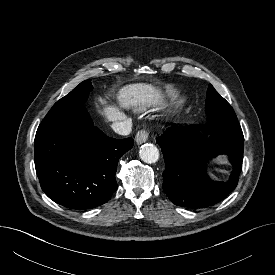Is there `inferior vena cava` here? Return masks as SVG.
Masks as SVG:
<instances>
[{"instance_id": "1", "label": "inferior vena cava", "mask_w": 275, "mask_h": 275, "mask_svg": "<svg viewBox=\"0 0 275 275\" xmlns=\"http://www.w3.org/2000/svg\"><path fill=\"white\" fill-rule=\"evenodd\" d=\"M112 129L119 135H129L132 131V121L130 118L125 117L120 121L114 122Z\"/></svg>"}]
</instances>
